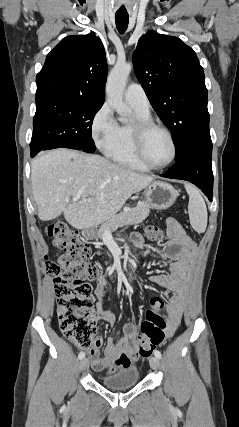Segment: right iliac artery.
<instances>
[{
	"label": "right iliac artery",
	"mask_w": 239,
	"mask_h": 427,
	"mask_svg": "<svg viewBox=\"0 0 239 427\" xmlns=\"http://www.w3.org/2000/svg\"><path fill=\"white\" fill-rule=\"evenodd\" d=\"M85 357V353L84 352H80L78 355V359H83Z\"/></svg>",
	"instance_id": "obj_1"
}]
</instances>
